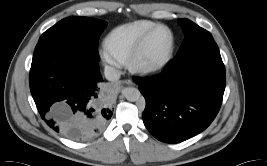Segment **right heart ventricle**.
<instances>
[{
	"mask_svg": "<svg viewBox=\"0 0 267 166\" xmlns=\"http://www.w3.org/2000/svg\"><path fill=\"white\" fill-rule=\"evenodd\" d=\"M156 25L157 23L150 20H137L120 25L109 33L107 43L124 62L141 38Z\"/></svg>",
	"mask_w": 267,
	"mask_h": 166,
	"instance_id": "e07e8e85",
	"label": "right heart ventricle"
}]
</instances>
